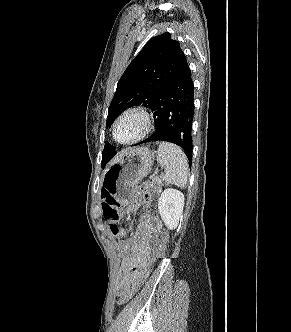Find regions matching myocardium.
Returning <instances> with one entry per match:
<instances>
[{
	"instance_id": "obj_1",
	"label": "myocardium",
	"mask_w": 291,
	"mask_h": 332,
	"mask_svg": "<svg viewBox=\"0 0 291 332\" xmlns=\"http://www.w3.org/2000/svg\"><path fill=\"white\" fill-rule=\"evenodd\" d=\"M131 114H135L138 115L142 118L143 121V129L141 131V133L136 136L135 138L129 140V141H120L117 138L116 135V131H117V127L119 125V123L121 122V120ZM154 126V121H153V117L152 114L150 113V111L144 107V106H132L129 107L127 109H125L116 119L114 125H113V130H112V134H113V138L114 140L122 145H131V144H135L141 140H143L146 136L149 135V133L152 131Z\"/></svg>"
}]
</instances>
